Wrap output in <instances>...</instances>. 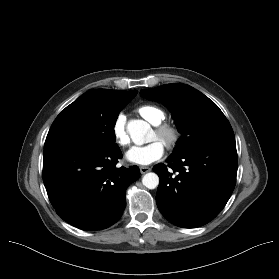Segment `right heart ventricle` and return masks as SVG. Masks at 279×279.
I'll list each match as a JSON object with an SVG mask.
<instances>
[{"instance_id": "e07e8e85", "label": "right heart ventricle", "mask_w": 279, "mask_h": 279, "mask_svg": "<svg viewBox=\"0 0 279 279\" xmlns=\"http://www.w3.org/2000/svg\"><path fill=\"white\" fill-rule=\"evenodd\" d=\"M137 112L142 118L153 125L160 124L165 119V113L154 105H141Z\"/></svg>"}]
</instances>
